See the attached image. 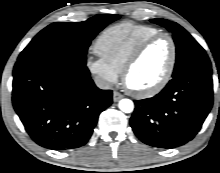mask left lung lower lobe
Wrapping results in <instances>:
<instances>
[{"label":"left lung lower lobe","mask_w":220,"mask_h":173,"mask_svg":"<svg viewBox=\"0 0 220 173\" xmlns=\"http://www.w3.org/2000/svg\"><path fill=\"white\" fill-rule=\"evenodd\" d=\"M130 125L145 144L171 149L192 140L213 104L211 67L173 77L153 98L135 100Z\"/></svg>","instance_id":"1"}]
</instances>
